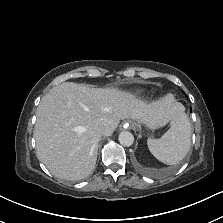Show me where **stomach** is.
Wrapping results in <instances>:
<instances>
[{
	"instance_id": "0dacf381",
	"label": "stomach",
	"mask_w": 223,
	"mask_h": 223,
	"mask_svg": "<svg viewBox=\"0 0 223 223\" xmlns=\"http://www.w3.org/2000/svg\"><path fill=\"white\" fill-rule=\"evenodd\" d=\"M133 125H135L139 129L142 128L143 125L146 126V127H148L146 124H144V123H142L140 121H136L135 123H133Z\"/></svg>"
}]
</instances>
